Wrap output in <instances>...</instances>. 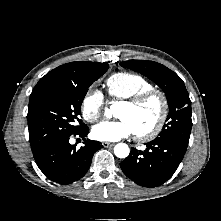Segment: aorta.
Masks as SVG:
<instances>
[{
	"mask_svg": "<svg viewBox=\"0 0 221 221\" xmlns=\"http://www.w3.org/2000/svg\"><path fill=\"white\" fill-rule=\"evenodd\" d=\"M106 117L111 115V109H105ZM130 149L127 144L125 143H118L114 147V153L118 158H126L129 155Z\"/></svg>",
	"mask_w": 221,
	"mask_h": 221,
	"instance_id": "aorta-1",
	"label": "aorta"
}]
</instances>
